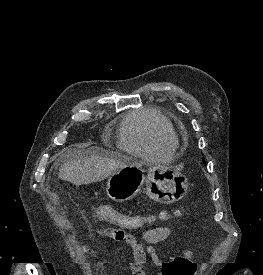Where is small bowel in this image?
Masks as SVG:
<instances>
[{"label":"small bowel","mask_w":263,"mask_h":275,"mask_svg":"<svg viewBox=\"0 0 263 275\" xmlns=\"http://www.w3.org/2000/svg\"><path fill=\"white\" fill-rule=\"evenodd\" d=\"M115 229L106 228L101 231V235L110 237L116 241L126 242L132 250L133 260L130 263V270L132 275H145L144 266L149 259L152 264L159 269L162 275L166 274L168 262L166 258L160 256L157 250L153 247L154 244L164 241L171 234L169 227H155L148 229L142 234V241L136 240L131 235H126L122 239L115 238ZM84 251L96 260V271H100L102 261L98 258L96 252L90 247L85 245ZM195 266L186 273V275H193Z\"/></svg>","instance_id":"c3829d8e"}]
</instances>
